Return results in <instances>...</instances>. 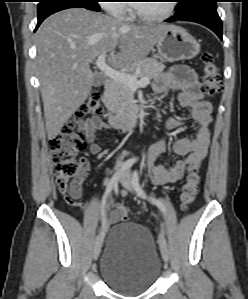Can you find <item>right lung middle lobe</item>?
Instances as JSON below:
<instances>
[{"label":"right lung middle lobe","instance_id":"right-lung-middle-lobe-1","mask_svg":"<svg viewBox=\"0 0 248 299\" xmlns=\"http://www.w3.org/2000/svg\"><path fill=\"white\" fill-rule=\"evenodd\" d=\"M97 2L98 0H40L38 4V13L60 3H76L91 8L95 11H99L100 7Z\"/></svg>","mask_w":248,"mask_h":299}]
</instances>
